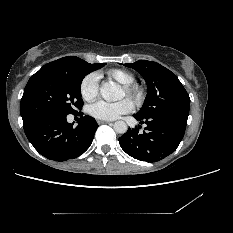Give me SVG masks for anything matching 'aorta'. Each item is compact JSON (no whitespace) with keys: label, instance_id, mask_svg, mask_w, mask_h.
Masks as SVG:
<instances>
[{"label":"aorta","instance_id":"1","mask_svg":"<svg viewBox=\"0 0 233 233\" xmlns=\"http://www.w3.org/2000/svg\"><path fill=\"white\" fill-rule=\"evenodd\" d=\"M100 94L106 101H117L123 98L124 92L122 88L114 82H105L100 88ZM114 130L119 134L127 132V124L120 120L114 123Z\"/></svg>","mask_w":233,"mask_h":233}]
</instances>
